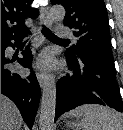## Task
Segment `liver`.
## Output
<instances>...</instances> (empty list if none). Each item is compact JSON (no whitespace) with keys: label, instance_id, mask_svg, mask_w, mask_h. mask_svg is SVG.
Instances as JSON below:
<instances>
[{"label":"liver","instance_id":"6515ba94","mask_svg":"<svg viewBox=\"0 0 123 130\" xmlns=\"http://www.w3.org/2000/svg\"><path fill=\"white\" fill-rule=\"evenodd\" d=\"M21 114L16 105L1 94V130H20Z\"/></svg>","mask_w":123,"mask_h":130}]
</instances>
